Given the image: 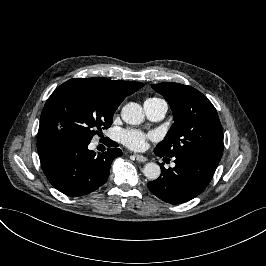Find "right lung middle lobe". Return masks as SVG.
<instances>
[{
	"label": "right lung middle lobe",
	"instance_id": "dd1d6c3e",
	"mask_svg": "<svg viewBox=\"0 0 266 266\" xmlns=\"http://www.w3.org/2000/svg\"><path fill=\"white\" fill-rule=\"evenodd\" d=\"M125 99L102 78H74L60 85L43 108L40 125L44 141H91L111 126L113 115Z\"/></svg>",
	"mask_w": 266,
	"mask_h": 266
}]
</instances>
